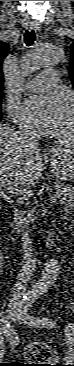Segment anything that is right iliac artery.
<instances>
[{
	"mask_svg": "<svg viewBox=\"0 0 74 366\" xmlns=\"http://www.w3.org/2000/svg\"><path fill=\"white\" fill-rule=\"evenodd\" d=\"M3 332L9 338L10 342L12 344H14L15 343V332L7 321H5V325L3 326Z\"/></svg>",
	"mask_w": 74,
	"mask_h": 366,
	"instance_id": "obj_1",
	"label": "right iliac artery"
}]
</instances>
